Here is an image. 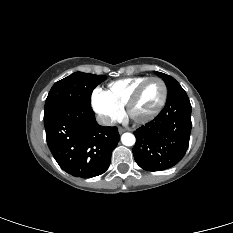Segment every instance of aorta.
<instances>
[{
	"label": "aorta",
	"instance_id": "obj_1",
	"mask_svg": "<svg viewBox=\"0 0 233 233\" xmlns=\"http://www.w3.org/2000/svg\"><path fill=\"white\" fill-rule=\"evenodd\" d=\"M135 136L131 133H124L121 136V142L125 146H133L135 144Z\"/></svg>",
	"mask_w": 233,
	"mask_h": 233
}]
</instances>
